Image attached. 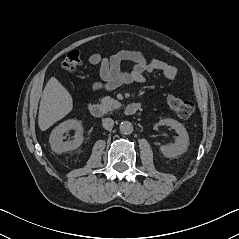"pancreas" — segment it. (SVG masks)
Returning <instances> with one entry per match:
<instances>
[{"instance_id": "1", "label": "pancreas", "mask_w": 239, "mask_h": 239, "mask_svg": "<svg viewBox=\"0 0 239 239\" xmlns=\"http://www.w3.org/2000/svg\"><path fill=\"white\" fill-rule=\"evenodd\" d=\"M102 105L107 109V111H113L121 107V103L115 99L105 96L101 99Z\"/></svg>"}]
</instances>
